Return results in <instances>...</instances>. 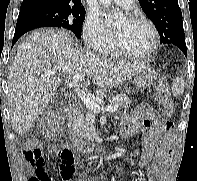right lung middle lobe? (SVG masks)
<instances>
[{
    "instance_id": "obj_1",
    "label": "right lung middle lobe",
    "mask_w": 197,
    "mask_h": 181,
    "mask_svg": "<svg viewBox=\"0 0 197 181\" xmlns=\"http://www.w3.org/2000/svg\"><path fill=\"white\" fill-rule=\"evenodd\" d=\"M41 15L56 23V27L71 30L77 38L81 37V27L85 19V9L39 4L24 10Z\"/></svg>"
}]
</instances>
